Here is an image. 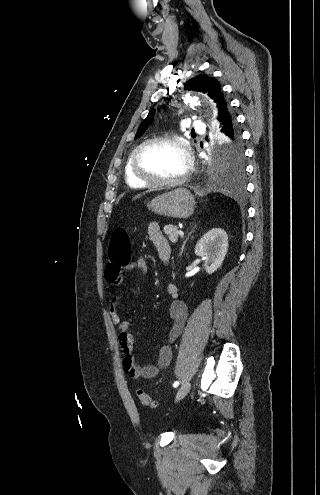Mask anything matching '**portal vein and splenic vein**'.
<instances>
[{
	"label": "portal vein and splenic vein",
	"instance_id": "1",
	"mask_svg": "<svg viewBox=\"0 0 320 495\" xmlns=\"http://www.w3.org/2000/svg\"><path fill=\"white\" fill-rule=\"evenodd\" d=\"M178 234L183 236L184 235V232L183 231H178Z\"/></svg>",
	"mask_w": 320,
	"mask_h": 495
}]
</instances>
